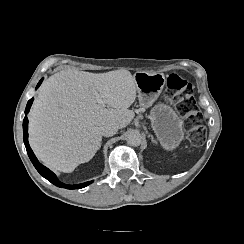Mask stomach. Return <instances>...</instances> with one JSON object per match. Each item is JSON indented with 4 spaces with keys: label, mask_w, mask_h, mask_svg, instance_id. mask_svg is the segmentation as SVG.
<instances>
[{
    "label": "stomach",
    "mask_w": 244,
    "mask_h": 244,
    "mask_svg": "<svg viewBox=\"0 0 244 244\" xmlns=\"http://www.w3.org/2000/svg\"><path fill=\"white\" fill-rule=\"evenodd\" d=\"M140 106L148 108L158 99L166 78L163 73L138 71L134 75ZM152 128L166 150L175 149L184 139L183 120L168 105L157 104L150 112Z\"/></svg>",
    "instance_id": "1"
}]
</instances>
